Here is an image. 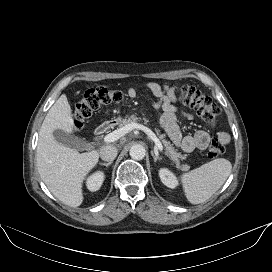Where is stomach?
Segmentation results:
<instances>
[{"mask_svg": "<svg viewBox=\"0 0 272 272\" xmlns=\"http://www.w3.org/2000/svg\"><path fill=\"white\" fill-rule=\"evenodd\" d=\"M115 121H116V123H120V122H121V119L118 118V119H116Z\"/></svg>", "mask_w": 272, "mask_h": 272, "instance_id": "1", "label": "stomach"}]
</instances>
